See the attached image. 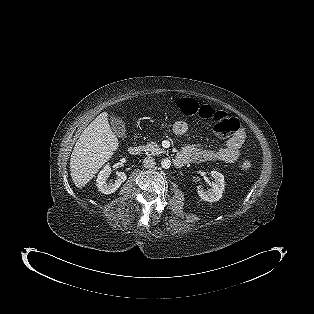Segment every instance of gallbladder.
I'll list each match as a JSON object with an SVG mask.
<instances>
[{
	"mask_svg": "<svg viewBox=\"0 0 314 314\" xmlns=\"http://www.w3.org/2000/svg\"><path fill=\"white\" fill-rule=\"evenodd\" d=\"M111 126H112V129L114 131V133L121 137V138H125L126 137V127H125V123L124 121L116 116V115H113L111 117Z\"/></svg>",
	"mask_w": 314,
	"mask_h": 314,
	"instance_id": "1",
	"label": "gallbladder"
}]
</instances>
